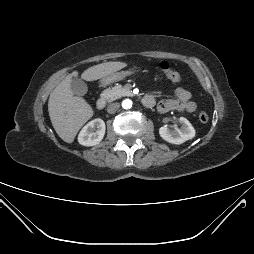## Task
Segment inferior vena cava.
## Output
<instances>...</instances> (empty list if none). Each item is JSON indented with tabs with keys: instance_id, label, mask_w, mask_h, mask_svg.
<instances>
[{
	"instance_id": "602c4592",
	"label": "inferior vena cava",
	"mask_w": 254,
	"mask_h": 254,
	"mask_svg": "<svg viewBox=\"0 0 254 254\" xmlns=\"http://www.w3.org/2000/svg\"><path fill=\"white\" fill-rule=\"evenodd\" d=\"M120 104L119 103H111L108 105L107 107V112L110 114H113L117 111V109L119 108Z\"/></svg>"
}]
</instances>
